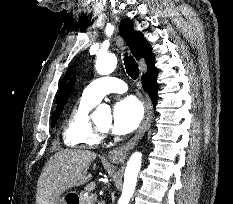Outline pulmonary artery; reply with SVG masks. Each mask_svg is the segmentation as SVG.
<instances>
[{"instance_id":"e3ab8cb5","label":"pulmonary artery","mask_w":233,"mask_h":204,"mask_svg":"<svg viewBox=\"0 0 233 204\" xmlns=\"http://www.w3.org/2000/svg\"><path fill=\"white\" fill-rule=\"evenodd\" d=\"M127 91V84L121 79L106 76L93 80L84 91L83 96L88 100L98 103L108 93H124Z\"/></svg>"}]
</instances>
